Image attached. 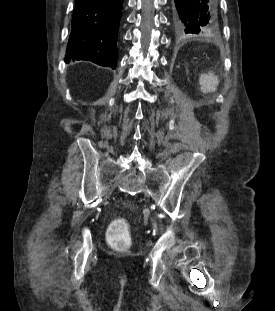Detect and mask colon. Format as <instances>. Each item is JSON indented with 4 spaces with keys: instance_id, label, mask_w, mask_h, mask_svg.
<instances>
[{
    "instance_id": "5ec220e1",
    "label": "colon",
    "mask_w": 275,
    "mask_h": 311,
    "mask_svg": "<svg viewBox=\"0 0 275 311\" xmlns=\"http://www.w3.org/2000/svg\"><path fill=\"white\" fill-rule=\"evenodd\" d=\"M109 238L111 244L118 248H126L130 245V238L124 220L117 219L111 224Z\"/></svg>"
}]
</instances>
